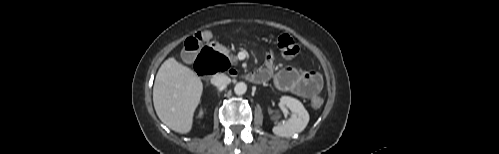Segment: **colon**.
<instances>
[{
    "instance_id": "1",
    "label": "colon",
    "mask_w": 499,
    "mask_h": 154,
    "mask_svg": "<svg viewBox=\"0 0 499 154\" xmlns=\"http://www.w3.org/2000/svg\"><path fill=\"white\" fill-rule=\"evenodd\" d=\"M211 37L210 32L203 31L195 34L186 41V48L188 51H194L199 47V44L209 40ZM276 44L282 55L286 58H294L299 53V46L297 42L286 33H281L277 36ZM216 71H226L229 68V62L226 57L216 53L215 55ZM323 101L319 96H314L311 99V106L315 109L321 107Z\"/></svg>"
}]
</instances>
